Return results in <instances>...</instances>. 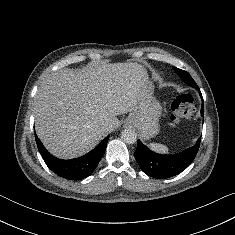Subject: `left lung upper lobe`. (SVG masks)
<instances>
[{
	"instance_id": "1",
	"label": "left lung upper lobe",
	"mask_w": 235,
	"mask_h": 235,
	"mask_svg": "<svg viewBox=\"0 0 235 235\" xmlns=\"http://www.w3.org/2000/svg\"><path fill=\"white\" fill-rule=\"evenodd\" d=\"M173 69L175 70V72L182 78V80L185 82L186 80H188L189 82H185L188 85H190L191 87H194L197 85L195 83V81L193 80V78L190 76V74L184 70H181L179 68L173 67Z\"/></svg>"
}]
</instances>
